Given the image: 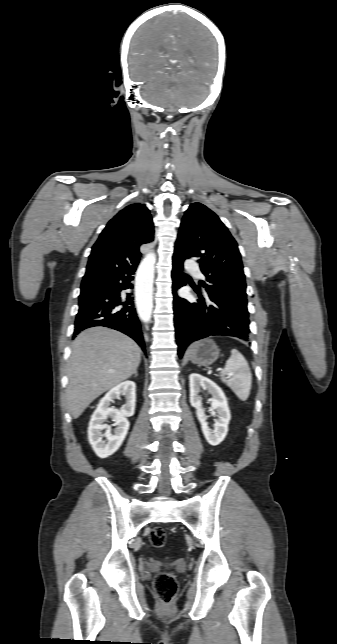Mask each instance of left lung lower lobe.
<instances>
[{
    "instance_id": "left-lung-lower-lobe-1",
    "label": "left lung lower lobe",
    "mask_w": 337,
    "mask_h": 644,
    "mask_svg": "<svg viewBox=\"0 0 337 644\" xmlns=\"http://www.w3.org/2000/svg\"><path fill=\"white\" fill-rule=\"evenodd\" d=\"M182 269L183 262L173 258L174 322L179 357L183 356L189 344L212 335L232 336L248 342V316L225 299L197 290V303L177 296L176 290L185 285Z\"/></svg>"
}]
</instances>
